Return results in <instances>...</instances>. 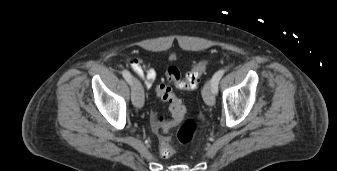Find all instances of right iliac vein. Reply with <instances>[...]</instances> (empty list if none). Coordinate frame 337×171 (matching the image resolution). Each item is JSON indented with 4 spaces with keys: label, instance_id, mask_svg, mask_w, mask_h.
Returning <instances> with one entry per match:
<instances>
[{
    "label": "right iliac vein",
    "instance_id": "63e3f726",
    "mask_svg": "<svg viewBox=\"0 0 337 171\" xmlns=\"http://www.w3.org/2000/svg\"><path fill=\"white\" fill-rule=\"evenodd\" d=\"M131 100L135 107L142 108L144 105V92L141 83L132 78L131 81Z\"/></svg>",
    "mask_w": 337,
    "mask_h": 171
}]
</instances>
